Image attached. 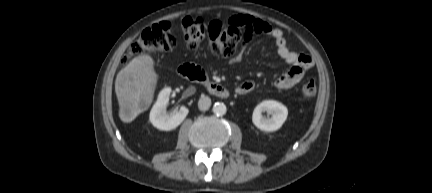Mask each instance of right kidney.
<instances>
[{
    "instance_id": "right-kidney-1",
    "label": "right kidney",
    "mask_w": 432,
    "mask_h": 193,
    "mask_svg": "<svg viewBox=\"0 0 432 193\" xmlns=\"http://www.w3.org/2000/svg\"><path fill=\"white\" fill-rule=\"evenodd\" d=\"M171 88H164L150 112V122L159 130L170 131L178 127L189 113L188 108L181 106L173 115L166 113Z\"/></svg>"
}]
</instances>
